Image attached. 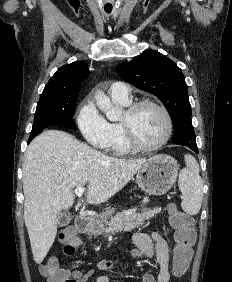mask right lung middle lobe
Segmentation results:
<instances>
[{
    "instance_id": "right-lung-middle-lobe-1",
    "label": "right lung middle lobe",
    "mask_w": 232,
    "mask_h": 282,
    "mask_svg": "<svg viewBox=\"0 0 232 282\" xmlns=\"http://www.w3.org/2000/svg\"><path fill=\"white\" fill-rule=\"evenodd\" d=\"M78 94L67 96H40L37 104L34 124L28 141L51 126H63L75 129L73 120Z\"/></svg>"
}]
</instances>
